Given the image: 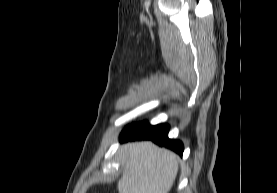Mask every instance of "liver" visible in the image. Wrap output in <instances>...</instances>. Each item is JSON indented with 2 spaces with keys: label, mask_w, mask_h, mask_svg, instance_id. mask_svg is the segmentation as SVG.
<instances>
[{
  "label": "liver",
  "mask_w": 277,
  "mask_h": 193,
  "mask_svg": "<svg viewBox=\"0 0 277 193\" xmlns=\"http://www.w3.org/2000/svg\"><path fill=\"white\" fill-rule=\"evenodd\" d=\"M124 171L119 193H168L178 168V156L150 141L128 143L121 148Z\"/></svg>",
  "instance_id": "liver-1"
}]
</instances>
